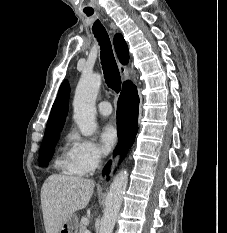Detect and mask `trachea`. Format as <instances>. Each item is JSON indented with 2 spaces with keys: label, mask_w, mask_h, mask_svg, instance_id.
<instances>
[{
  "label": "trachea",
  "mask_w": 227,
  "mask_h": 233,
  "mask_svg": "<svg viewBox=\"0 0 227 233\" xmlns=\"http://www.w3.org/2000/svg\"><path fill=\"white\" fill-rule=\"evenodd\" d=\"M85 13L87 16H90L93 14V11ZM92 29L101 46V64L106 84L116 93H119L121 90V76L113 54L109 36L99 20L94 23Z\"/></svg>",
  "instance_id": "3493384b"
}]
</instances>
